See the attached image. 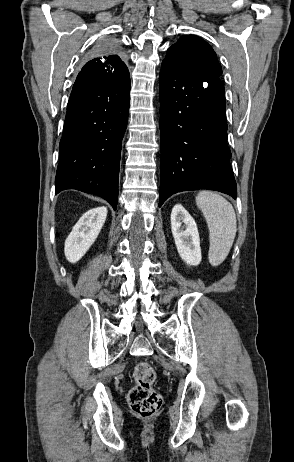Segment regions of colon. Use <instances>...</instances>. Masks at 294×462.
Here are the masks:
<instances>
[{
  "label": "colon",
  "mask_w": 294,
  "mask_h": 462,
  "mask_svg": "<svg viewBox=\"0 0 294 462\" xmlns=\"http://www.w3.org/2000/svg\"><path fill=\"white\" fill-rule=\"evenodd\" d=\"M135 385L128 393L131 409L141 417L155 415L162 406V396L153 388L156 372L148 362H140L133 373Z\"/></svg>",
  "instance_id": "obj_1"
}]
</instances>
